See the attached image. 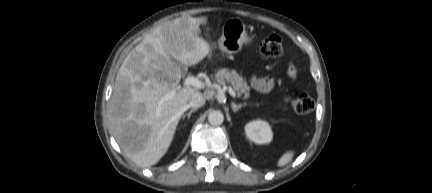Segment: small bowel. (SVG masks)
I'll use <instances>...</instances> for the list:
<instances>
[{
	"instance_id": "small-bowel-1",
	"label": "small bowel",
	"mask_w": 432,
	"mask_h": 193,
	"mask_svg": "<svg viewBox=\"0 0 432 193\" xmlns=\"http://www.w3.org/2000/svg\"><path fill=\"white\" fill-rule=\"evenodd\" d=\"M288 76L291 79H294L296 76V71L293 66L288 68ZM251 86L254 90L260 93H269L275 86V80L272 77H264V78H251Z\"/></svg>"
}]
</instances>
